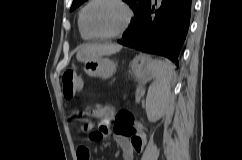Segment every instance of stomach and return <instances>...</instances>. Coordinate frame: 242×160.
<instances>
[{"label":"stomach","mask_w":242,"mask_h":160,"mask_svg":"<svg viewBox=\"0 0 242 160\" xmlns=\"http://www.w3.org/2000/svg\"><path fill=\"white\" fill-rule=\"evenodd\" d=\"M149 56L138 55L132 61V72L139 82H146L151 78L149 70ZM115 63L109 58L98 57L84 61V71L90 77L108 79L115 73Z\"/></svg>","instance_id":"1"}]
</instances>
